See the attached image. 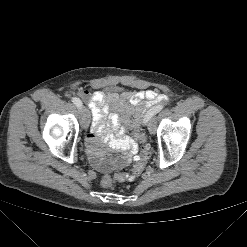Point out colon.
<instances>
[{"label":"colon","mask_w":247,"mask_h":247,"mask_svg":"<svg viewBox=\"0 0 247 247\" xmlns=\"http://www.w3.org/2000/svg\"><path fill=\"white\" fill-rule=\"evenodd\" d=\"M134 135L140 142L141 146L140 153L136 157L135 164L133 165L132 169L130 170V172L117 173L114 177L104 176L102 179L103 186L109 187L114 181H132L140 176L145 169L147 160L150 156V147L147 138L141 128V125L134 129Z\"/></svg>","instance_id":"obj_1"}]
</instances>
